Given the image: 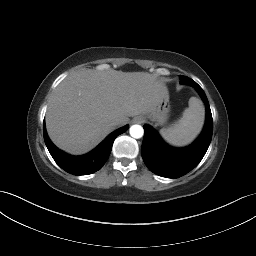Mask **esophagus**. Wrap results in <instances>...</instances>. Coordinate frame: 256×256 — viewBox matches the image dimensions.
<instances>
[{
    "instance_id": "esophagus-1",
    "label": "esophagus",
    "mask_w": 256,
    "mask_h": 256,
    "mask_svg": "<svg viewBox=\"0 0 256 256\" xmlns=\"http://www.w3.org/2000/svg\"><path fill=\"white\" fill-rule=\"evenodd\" d=\"M134 123H142L143 122V118L142 117H136L133 119Z\"/></svg>"
}]
</instances>
